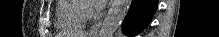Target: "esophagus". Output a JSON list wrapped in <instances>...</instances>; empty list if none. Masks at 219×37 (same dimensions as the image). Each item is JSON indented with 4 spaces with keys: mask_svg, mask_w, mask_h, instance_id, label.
I'll return each mask as SVG.
<instances>
[{
    "mask_svg": "<svg viewBox=\"0 0 219 37\" xmlns=\"http://www.w3.org/2000/svg\"><path fill=\"white\" fill-rule=\"evenodd\" d=\"M101 25V21H99L97 24H95L92 29L90 30L89 34L93 37H97V34L99 32V27Z\"/></svg>",
    "mask_w": 219,
    "mask_h": 37,
    "instance_id": "obj_1",
    "label": "esophagus"
}]
</instances>
